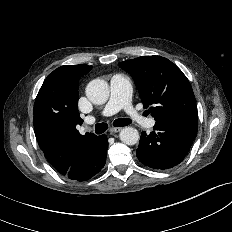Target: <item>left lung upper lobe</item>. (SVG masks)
<instances>
[{
    "label": "left lung upper lobe",
    "mask_w": 232,
    "mask_h": 232,
    "mask_svg": "<svg viewBox=\"0 0 232 232\" xmlns=\"http://www.w3.org/2000/svg\"><path fill=\"white\" fill-rule=\"evenodd\" d=\"M118 65L132 76L144 108L149 107L156 122L198 124L191 84L173 62L142 56Z\"/></svg>",
    "instance_id": "5c2ea615"
}]
</instances>
